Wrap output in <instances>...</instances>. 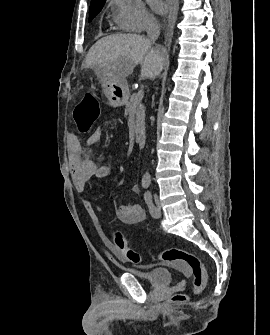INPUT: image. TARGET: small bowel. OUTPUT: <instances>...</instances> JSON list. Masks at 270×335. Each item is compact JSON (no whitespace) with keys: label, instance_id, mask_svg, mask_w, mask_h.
I'll list each match as a JSON object with an SVG mask.
<instances>
[{"label":"small bowel","instance_id":"c3829d8e","mask_svg":"<svg viewBox=\"0 0 270 335\" xmlns=\"http://www.w3.org/2000/svg\"><path fill=\"white\" fill-rule=\"evenodd\" d=\"M102 129L98 128L87 140L88 146L96 145L101 138ZM68 162L72 180L78 192L82 193L88 181L93 178H105L111 171L110 163L102 161L97 162L86 158L83 155L82 145L78 137L74 134L69 136ZM135 192H139L137 186ZM85 209L95 215V211L88 200L84 201ZM116 216L120 222L125 225H136L145 220L144 209L138 204H128L116 206Z\"/></svg>","mask_w":270,"mask_h":335}]
</instances>
